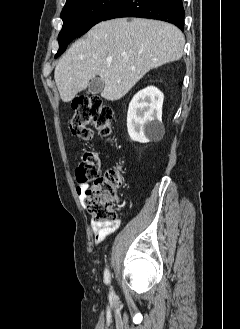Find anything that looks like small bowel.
I'll list each match as a JSON object with an SVG mask.
<instances>
[{
	"instance_id": "1",
	"label": "small bowel",
	"mask_w": 240,
	"mask_h": 329,
	"mask_svg": "<svg viewBox=\"0 0 240 329\" xmlns=\"http://www.w3.org/2000/svg\"><path fill=\"white\" fill-rule=\"evenodd\" d=\"M88 185L79 184L76 187V193L80 201H84V193L87 190ZM119 227V222L109 221V222H100V221H92L91 222V231L95 238L97 244H100L104 241V239L115 232Z\"/></svg>"
}]
</instances>
